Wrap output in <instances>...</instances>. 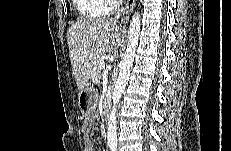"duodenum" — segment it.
<instances>
[{"mask_svg":"<svg viewBox=\"0 0 231 151\" xmlns=\"http://www.w3.org/2000/svg\"><path fill=\"white\" fill-rule=\"evenodd\" d=\"M110 95L106 94L103 104V115L106 117L108 115L109 109H110Z\"/></svg>","mask_w":231,"mask_h":151,"instance_id":"410a0bca","label":"duodenum"}]
</instances>
